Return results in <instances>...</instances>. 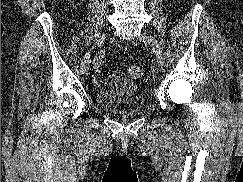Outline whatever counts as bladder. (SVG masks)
Masks as SVG:
<instances>
[{
	"mask_svg": "<svg viewBox=\"0 0 243 182\" xmlns=\"http://www.w3.org/2000/svg\"><path fill=\"white\" fill-rule=\"evenodd\" d=\"M95 102L103 110L118 115L138 114L145 108L144 98L134 92L120 94L100 90L95 93Z\"/></svg>",
	"mask_w": 243,
	"mask_h": 182,
	"instance_id": "bladder-1",
	"label": "bladder"
}]
</instances>
